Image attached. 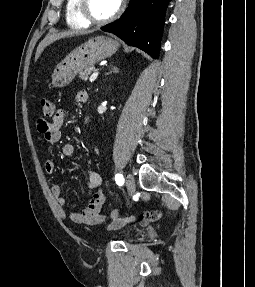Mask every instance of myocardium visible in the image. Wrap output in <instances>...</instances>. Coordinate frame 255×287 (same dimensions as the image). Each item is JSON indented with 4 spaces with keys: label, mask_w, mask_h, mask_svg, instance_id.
<instances>
[{
    "label": "myocardium",
    "mask_w": 255,
    "mask_h": 287,
    "mask_svg": "<svg viewBox=\"0 0 255 287\" xmlns=\"http://www.w3.org/2000/svg\"><path fill=\"white\" fill-rule=\"evenodd\" d=\"M91 23V21H90ZM90 33H95V32H90ZM89 39H95V38H89ZM124 39H129V38H124ZM131 48H141V47H131Z\"/></svg>",
    "instance_id": "myocardium-1"
}]
</instances>
